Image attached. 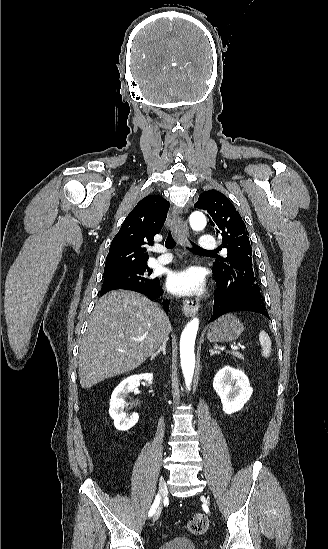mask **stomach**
<instances>
[{
	"instance_id": "stomach-1",
	"label": "stomach",
	"mask_w": 328,
	"mask_h": 549,
	"mask_svg": "<svg viewBox=\"0 0 328 549\" xmlns=\"http://www.w3.org/2000/svg\"><path fill=\"white\" fill-rule=\"evenodd\" d=\"M243 331V323L231 313H227L210 325L207 339L210 343H228V341L238 339Z\"/></svg>"
}]
</instances>
